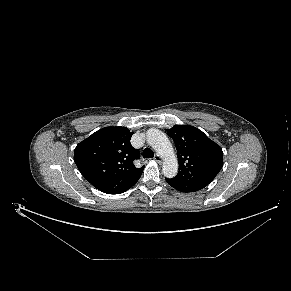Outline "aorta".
<instances>
[{"mask_svg":"<svg viewBox=\"0 0 291 291\" xmlns=\"http://www.w3.org/2000/svg\"><path fill=\"white\" fill-rule=\"evenodd\" d=\"M148 144L162 157V172L165 177L173 178L178 172V161L174 148L165 133L151 128L147 131Z\"/></svg>","mask_w":291,"mask_h":291,"instance_id":"obj_1","label":"aorta"}]
</instances>
